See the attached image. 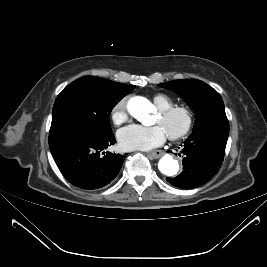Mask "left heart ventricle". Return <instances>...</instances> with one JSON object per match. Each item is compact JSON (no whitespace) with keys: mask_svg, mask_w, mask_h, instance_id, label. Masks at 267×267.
Masks as SVG:
<instances>
[{"mask_svg":"<svg viewBox=\"0 0 267 267\" xmlns=\"http://www.w3.org/2000/svg\"><path fill=\"white\" fill-rule=\"evenodd\" d=\"M156 124L163 127L167 134L179 131L184 124V119L181 115H175L170 119L164 120L161 115L158 116Z\"/></svg>","mask_w":267,"mask_h":267,"instance_id":"left-heart-ventricle-1","label":"left heart ventricle"}]
</instances>
